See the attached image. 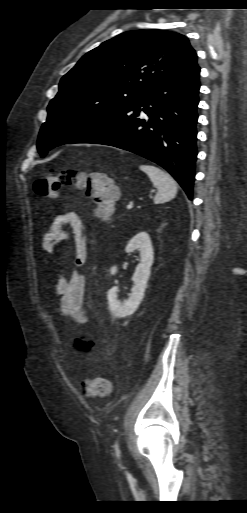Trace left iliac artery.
<instances>
[{
    "label": "left iliac artery",
    "mask_w": 247,
    "mask_h": 513,
    "mask_svg": "<svg viewBox=\"0 0 247 513\" xmlns=\"http://www.w3.org/2000/svg\"><path fill=\"white\" fill-rule=\"evenodd\" d=\"M115 450H116V456L119 459L120 458V450H119V446L117 443L115 444Z\"/></svg>",
    "instance_id": "obj_1"
}]
</instances>
